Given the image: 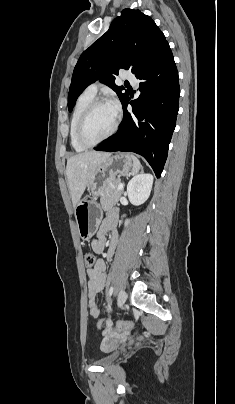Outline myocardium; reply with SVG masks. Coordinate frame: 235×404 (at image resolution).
Instances as JSON below:
<instances>
[{"mask_svg": "<svg viewBox=\"0 0 235 404\" xmlns=\"http://www.w3.org/2000/svg\"><path fill=\"white\" fill-rule=\"evenodd\" d=\"M103 104H108V102L105 99H102V98L94 99L86 107V109L83 111V113L80 116V119L78 121L77 130H76L77 139L82 145H84V146H86L88 148L89 147H94V146L100 144L101 142L109 139L117 131L119 121H120V116H119L118 113H116L114 123H113L111 129L109 130V132L107 134H105L103 137H101L100 139H98L96 141H89V140L86 139L85 134H84L86 123H87L90 115L92 114V112L98 106L103 105Z\"/></svg>", "mask_w": 235, "mask_h": 404, "instance_id": "1", "label": "myocardium"}]
</instances>
